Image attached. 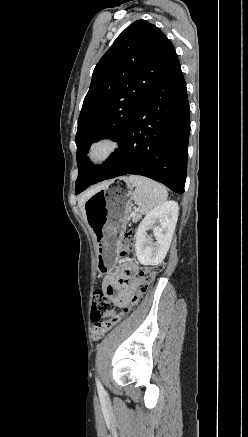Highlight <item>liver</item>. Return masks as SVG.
I'll list each match as a JSON object with an SVG mask.
<instances>
[{"instance_id": "1", "label": "liver", "mask_w": 248, "mask_h": 437, "mask_svg": "<svg viewBox=\"0 0 248 437\" xmlns=\"http://www.w3.org/2000/svg\"><path fill=\"white\" fill-rule=\"evenodd\" d=\"M100 187H98V188H95V189H92V190H90V191H88V192H86V193H84L80 198H79V207H80V209H81V212H82V214L83 215H85V213H84V203H85V201L94 193V192H96L98 189H99Z\"/></svg>"}]
</instances>
